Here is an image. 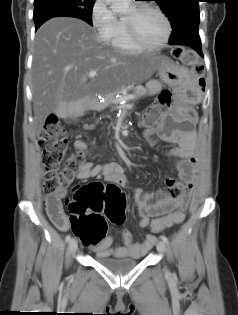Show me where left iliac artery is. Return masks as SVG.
<instances>
[{"mask_svg": "<svg viewBox=\"0 0 238 315\" xmlns=\"http://www.w3.org/2000/svg\"><path fill=\"white\" fill-rule=\"evenodd\" d=\"M160 238L166 243L168 244V239L165 235H161Z\"/></svg>", "mask_w": 238, "mask_h": 315, "instance_id": "left-iliac-artery-1", "label": "left iliac artery"}]
</instances>
